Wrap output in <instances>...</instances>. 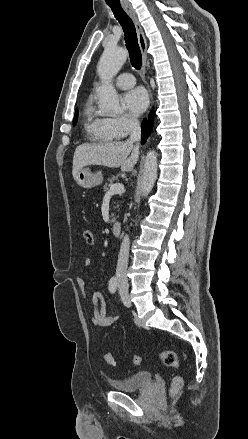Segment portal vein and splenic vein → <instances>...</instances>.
<instances>
[{
    "instance_id": "obj_1",
    "label": "portal vein and splenic vein",
    "mask_w": 248,
    "mask_h": 439,
    "mask_svg": "<svg viewBox=\"0 0 248 439\" xmlns=\"http://www.w3.org/2000/svg\"><path fill=\"white\" fill-rule=\"evenodd\" d=\"M125 191L122 183H115L110 186L109 194H122Z\"/></svg>"
}]
</instances>
